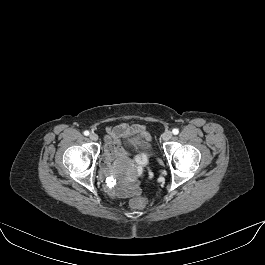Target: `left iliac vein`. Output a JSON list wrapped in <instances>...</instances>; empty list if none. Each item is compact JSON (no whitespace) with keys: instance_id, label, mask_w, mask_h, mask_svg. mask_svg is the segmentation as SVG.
I'll return each mask as SVG.
<instances>
[{"instance_id":"4c4485c4","label":"left iliac vein","mask_w":265,"mask_h":265,"mask_svg":"<svg viewBox=\"0 0 265 265\" xmlns=\"http://www.w3.org/2000/svg\"><path fill=\"white\" fill-rule=\"evenodd\" d=\"M172 132L171 131H165L162 135V138L164 141H169L172 138Z\"/></svg>"}]
</instances>
